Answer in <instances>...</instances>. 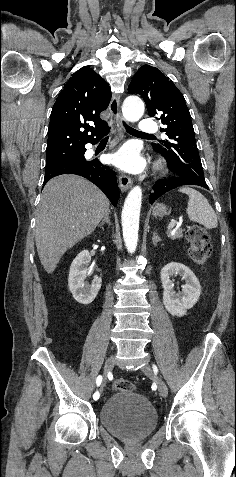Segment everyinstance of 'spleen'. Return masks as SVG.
I'll use <instances>...</instances> for the list:
<instances>
[{"label":"spleen","mask_w":236,"mask_h":477,"mask_svg":"<svg viewBox=\"0 0 236 477\" xmlns=\"http://www.w3.org/2000/svg\"><path fill=\"white\" fill-rule=\"evenodd\" d=\"M179 191L189 196L186 212L191 221L202 224L207 229L217 227V215L200 192L190 187H182Z\"/></svg>","instance_id":"spleen-1"}]
</instances>
